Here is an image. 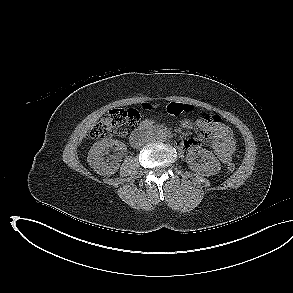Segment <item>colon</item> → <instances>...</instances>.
Segmentation results:
<instances>
[{
	"instance_id": "5ec220e1",
	"label": "colon",
	"mask_w": 293,
	"mask_h": 293,
	"mask_svg": "<svg viewBox=\"0 0 293 293\" xmlns=\"http://www.w3.org/2000/svg\"><path fill=\"white\" fill-rule=\"evenodd\" d=\"M192 107L187 104L172 102L167 106V112L171 116H181L190 113ZM201 116L211 122H220L216 115L202 113ZM140 113L135 109H113L105 114L89 130V136L93 139H105L112 136L125 137L129 130L140 122ZM227 170H235L233 163L227 164Z\"/></svg>"
}]
</instances>
